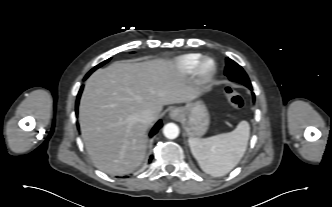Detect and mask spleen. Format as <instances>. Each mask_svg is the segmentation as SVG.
Wrapping results in <instances>:
<instances>
[{
  "instance_id": "spleen-1",
  "label": "spleen",
  "mask_w": 332,
  "mask_h": 207,
  "mask_svg": "<svg viewBox=\"0 0 332 207\" xmlns=\"http://www.w3.org/2000/svg\"><path fill=\"white\" fill-rule=\"evenodd\" d=\"M250 135L247 121L231 132L209 138H189L192 155L207 174L219 177L229 173L243 157Z\"/></svg>"
}]
</instances>
